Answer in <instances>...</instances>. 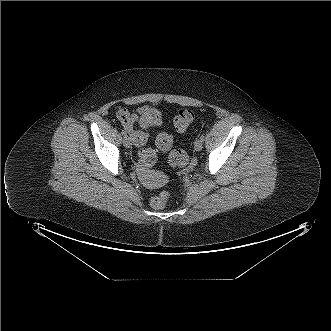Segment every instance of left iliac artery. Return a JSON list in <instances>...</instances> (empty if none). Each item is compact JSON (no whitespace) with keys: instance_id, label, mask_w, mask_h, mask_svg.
<instances>
[{"instance_id":"1","label":"left iliac artery","mask_w":331,"mask_h":331,"mask_svg":"<svg viewBox=\"0 0 331 331\" xmlns=\"http://www.w3.org/2000/svg\"><path fill=\"white\" fill-rule=\"evenodd\" d=\"M204 138H205V136L202 134V135L200 136V139H201L202 141H204Z\"/></svg>"}]
</instances>
